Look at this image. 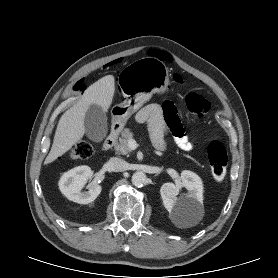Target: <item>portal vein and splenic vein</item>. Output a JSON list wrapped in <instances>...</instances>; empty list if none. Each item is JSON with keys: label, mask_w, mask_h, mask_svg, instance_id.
Segmentation results:
<instances>
[{"label": "portal vein and splenic vein", "mask_w": 278, "mask_h": 278, "mask_svg": "<svg viewBox=\"0 0 278 278\" xmlns=\"http://www.w3.org/2000/svg\"><path fill=\"white\" fill-rule=\"evenodd\" d=\"M128 147L130 150H135L137 148V143L134 139L128 141Z\"/></svg>", "instance_id": "obj_1"}]
</instances>
